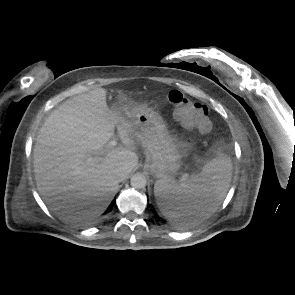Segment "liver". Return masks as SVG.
Wrapping results in <instances>:
<instances>
[{
    "instance_id": "1",
    "label": "liver",
    "mask_w": 295,
    "mask_h": 295,
    "mask_svg": "<svg viewBox=\"0 0 295 295\" xmlns=\"http://www.w3.org/2000/svg\"><path fill=\"white\" fill-rule=\"evenodd\" d=\"M118 130L122 145L107 149ZM132 130L116 110H109L106 90L94 89L70 98L41 127L34 147V173L39 193L65 221L101 214L117 192L118 170L127 176L137 166ZM88 154L99 160L87 163Z\"/></svg>"
}]
</instances>
